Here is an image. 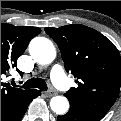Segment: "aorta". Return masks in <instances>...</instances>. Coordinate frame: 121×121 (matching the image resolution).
I'll return each instance as SVG.
<instances>
[{"mask_svg": "<svg viewBox=\"0 0 121 121\" xmlns=\"http://www.w3.org/2000/svg\"><path fill=\"white\" fill-rule=\"evenodd\" d=\"M29 53L40 64H50L56 57L53 43L44 37H36L30 42ZM50 107L56 114L63 115L69 109V102L64 96H55L50 101Z\"/></svg>", "mask_w": 121, "mask_h": 121, "instance_id": "obj_1", "label": "aorta"}]
</instances>
